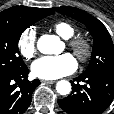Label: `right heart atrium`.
<instances>
[{"label":"right heart atrium","mask_w":114,"mask_h":114,"mask_svg":"<svg viewBox=\"0 0 114 114\" xmlns=\"http://www.w3.org/2000/svg\"><path fill=\"white\" fill-rule=\"evenodd\" d=\"M17 46L24 59H31L37 52L36 30L33 27L25 29L19 36Z\"/></svg>","instance_id":"1"}]
</instances>
